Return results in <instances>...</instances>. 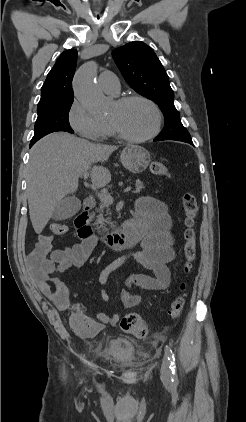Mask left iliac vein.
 Listing matches in <instances>:
<instances>
[{
  "label": "left iliac vein",
  "instance_id": "left-iliac-vein-1",
  "mask_svg": "<svg viewBox=\"0 0 246 422\" xmlns=\"http://www.w3.org/2000/svg\"><path fill=\"white\" fill-rule=\"evenodd\" d=\"M161 377L165 382H169L171 379L170 361L168 356L165 355L161 365Z\"/></svg>",
  "mask_w": 246,
  "mask_h": 422
}]
</instances>
